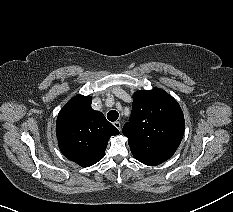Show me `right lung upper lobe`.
<instances>
[{
	"mask_svg": "<svg viewBox=\"0 0 233 212\" xmlns=\"http://www.w3.org/2000/svg\"><path fill=\"white\" fill-rule=\"evenodd\" d=\"M91 102V96L76 95L61 109L56 121L61 152L82 167L97 163L110 137L119 134L101 112L92 109Z\"/></svg>",
	"mask_w": 233,
	"mask_h": 212,
	"instance_id": "obj_1",
	"label": "right lung upper lobe"
}]
</instances>
